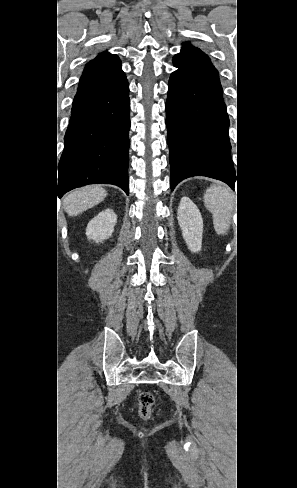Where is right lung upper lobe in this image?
I'll return each mask as SVG.
<instances>
[{"instance_id": "cb5924a9", "label": "right lung upper lobe", "mask_w": 297, "mask_h": 488, "mask_svg": "<svg viewBox=\"0 0 297 488\" xmlns=\"http://www.w3.org/2000/svg\"><path fill=\"white\" fill-rule=\"evenodd\" d=\"M122 75L124 73L117 55L99 53L85 66L73 104L94 96Z\"/></svg>"}]
</instances>
